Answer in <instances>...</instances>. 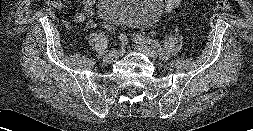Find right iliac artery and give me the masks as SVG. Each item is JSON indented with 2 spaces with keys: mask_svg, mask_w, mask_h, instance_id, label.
Masks as SVG:
<instances>
[{
  "mask_svg": "<svg viewBox=\"0 0 253 131\" xmlns=\"http://www.w3.org/2000/svg\"><path fill=\"white\" fill-rule=\"evenodd\" d=\"M120 44L123 46L126 43V38L124 34H120L119 36Z\"/></svg>",
  "mask_w": 253,
  "mask_h": 131,
  "instance_id": "1",
  "label": "right iliac artery"
}]
</instances>
